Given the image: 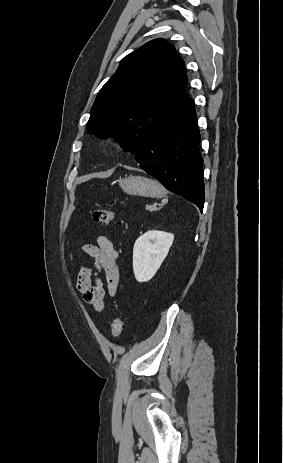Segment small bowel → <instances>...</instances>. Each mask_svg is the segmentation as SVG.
Returning <instances> with one entry per match:
<instances>
[{
  "label": "small bowel",
  "mask_w": 283,
  "mask_h": 463,
  "mask_svg": "<svg viewBox=\"0 0 283 463\" xmlns=\"http://www.w3.org/2000/svg\"><path fill=\"white\" fill-rule=\"evenodd\" d=\"M82 250L92 257L95 263L94 269L86 265L80 267L76 288L87 303L101 310L106 295L115 296L117 292L120 281L118 253L113 243L105 236H99L96 244L83 245ZM101 272L105 274V282L100 278Z\"/></svg>",
  "instance_id": "c3829d8e"
}]
</instances>
